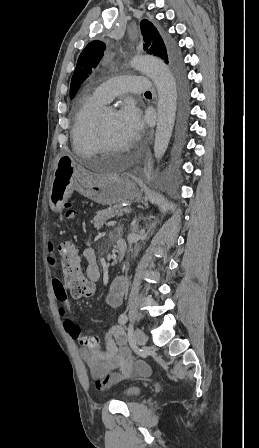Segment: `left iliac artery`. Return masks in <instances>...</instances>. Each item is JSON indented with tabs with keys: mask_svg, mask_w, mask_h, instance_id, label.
Segmentation results:
<instances>
[{
	"mask_svg": "<svg viewBox=\"0 0 259 448\" xmlns=\"http://www.w3.org/2000/svg\"><path fill=\"white\" fill-rule=\"evenodd\" d=\"M127 320H128V317L125 314H122L118 319L120 324H125L127 322Z\"/></svg>",
	"mask_w": 259,
	"mask_h": 448,
	"instance_id": "obj_1",
	"label": "left iliac artery"
}]
</instances>
